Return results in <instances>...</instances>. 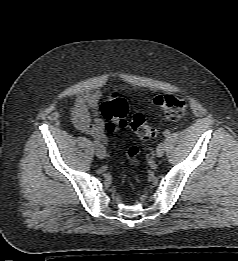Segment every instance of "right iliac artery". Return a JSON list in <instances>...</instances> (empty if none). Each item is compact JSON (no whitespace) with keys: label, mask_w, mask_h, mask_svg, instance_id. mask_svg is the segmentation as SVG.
Masks as SVG:
<instances>
[{"label":"right iliac artery","mask_w":238,"mask_h":261,"mask_svg":"<svg viewBox=\"0 0 238 261\" xmlns=\"http://www.w3.org/2000/svg\"><path fill=\"white\" fill-rule=\"evenodd\" d=\"M93 144H94L97 148H103V149H104V146L101 145L98 141H93Z\"/></svg>","instance_id":"right-iliac-artery-1"}]
</instances>
